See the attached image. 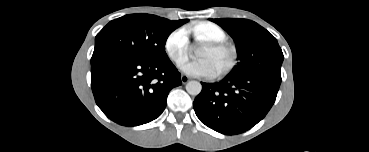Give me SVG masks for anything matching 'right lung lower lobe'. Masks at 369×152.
Listing matches in <instances>:
<instances>
[{"instance_id":"1","label":"right lung lower lobe","mask_w":369,"mask_h":152,"mask_svg":"<svg viewBox=\"0 0 369 152\" xmlns=\"http://www.w3.org/2000/svg\"><path fill=\"white\" fill-rule=\"evenodd\" d=\"M181 83V75L168 57L145 61L114 56L91 64L96 104L123 126L142 125L159 117L169 91Z\"/></svg>"}]
</instances>
